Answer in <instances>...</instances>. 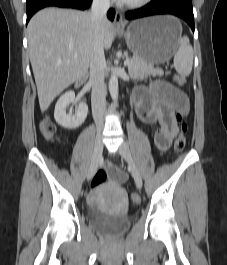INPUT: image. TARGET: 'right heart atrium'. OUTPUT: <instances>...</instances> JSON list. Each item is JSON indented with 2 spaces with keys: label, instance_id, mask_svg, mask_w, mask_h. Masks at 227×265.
Instances as JSON below:
<instances>
[{
  "label": "right heart atrium",
  "instance_id": "obj_1",
  "mask_svg": "<svg viewBox=\"0 0 227 265\" xmlns=\"http://www.w3.org/2000/svg\"><path fill=\"white\" fill-rule=\"evenodd\" d=\"M99 1H101L103 3H108L110 0H99Z\"/></svg>",
  "mask_w": 227,
  "mask_h": 265
}]
</instances>
